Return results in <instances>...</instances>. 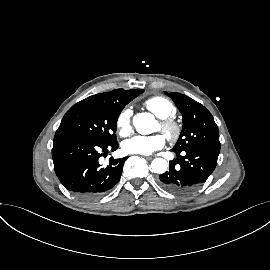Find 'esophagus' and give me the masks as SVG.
I'll return each mask as SVG.
<instances>
[{"label": "esophagus", "instance_id": "esophagus-1", "mask_svg": "<svg viewBox=\"0 0 270 270\" xmlns=\"http://www.w3.org/2000/svg\"><path fill=\"white\" fill-rule=\"evenodd\" d=\"M144 159H146V160H152L153 157L152 156H144Z\"/></svg>", "mask_w": 270, "mask_h": 270}]
</instances>
